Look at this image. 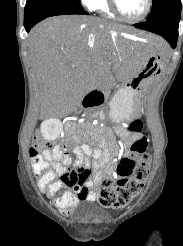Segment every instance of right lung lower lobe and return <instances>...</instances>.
Listing matches in <instances>:
<instances>
[{"label": "right lung lower lobe", "mask_w": 183, "mask_h": 246, "mask_svg": "<svg viewBox=\"0 0 183 246\" xmlns=\"http://www.w3.org/2000/svg\"><path fill=\"white\" fill-rule=\"evenodd\" d=\"M66 14H88L83 7H63V8H58L54 10L47 11L45 13L39 14V15H29V16H24V27L26 32H29L30 29L40 22L41 20L51 17V16H56V15H66Z\"/></svg>", "instance_id": "right-lung-lower-lobe-1"}]
</instances>
